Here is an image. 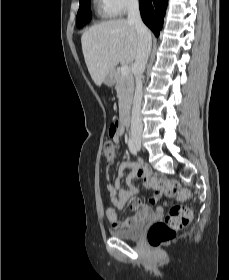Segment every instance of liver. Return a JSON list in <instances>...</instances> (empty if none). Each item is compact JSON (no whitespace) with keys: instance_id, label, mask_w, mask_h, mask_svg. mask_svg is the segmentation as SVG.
Instances as JSON below:
<instances>
[{"instance_id":"obj_1","label":"liver","mask_w":229,"mask_h":280,"mask_svg":"<svg viewBox=\"0 0 229 280\" xmlns=\"http://www.w3.org/2000/svg\"><path fill=\"white\" fill-rule=\"evenodd\" d=\"M139 41L135 25L125 19L104 21L86 30L81 37L82 51L94 83L101 86L119 63H132Z\"/></svg>"}]
</instances>
